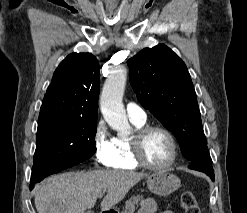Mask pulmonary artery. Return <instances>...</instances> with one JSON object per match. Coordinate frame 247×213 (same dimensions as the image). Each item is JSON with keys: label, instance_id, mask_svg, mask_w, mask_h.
Instances as JSON below:
<instances>
[{"label": "pulmonary artery", "instance_id": "e3ab8cb5", "mask_svg": "<svg viewBox=\"0 0 247 213\" xmlns=\"http://www.w3.org/2000/svg\"><path fill=\"white\" fill-rule=\"evenodd\" d=\"M127 116L131 121L144 123L146 121L145 111L135 103H128L126 106Z\"/></svg>", "mask_w": 247, "mask_h": 213}]
</instances>
